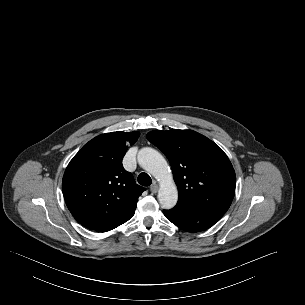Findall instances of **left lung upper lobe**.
I'll list each match as a JSON object with an SVG mask.
<instances>
[{"label":"left lung upper lobe","mask_w":305,"mask_h":305,"mask_svg":"<svg viewBox=\"0 0 305 305\" xmlns=\"http://www.w3.org/2000/svg\"><path fill=\"white\" fill-rule=\"evenodd\" d=\"M147 139L168 158L178 187L175 210L226 212L235 194L236 176L227 155L210 139L192 131L154 130Z\"/></svg>","instance_id":"1"}]
</instances>
